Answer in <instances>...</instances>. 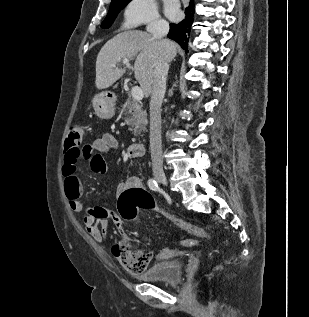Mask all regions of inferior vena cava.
<instances>
[{
    "label": "inferior vena cava",
    "mask_w": 309,
    "mask_h": 317,
    "mask_svg": "<svg viewBox=\"0 0 309 317\" xmlns=\"http://www.w3.org/2000/svg\"><path fill=\"white\" fill-rule=\"evenodd\" d=\"M147 31L161 42L162 51L156 62L152 81L150 100V151L154 172L163 171L162 140H161V105L166 91V78L169 70V61L174 50L171 41L163 39L169 31V24L163 19L151 22Z\"/></svg>",
    "instance_id": "602c4592"
}]
</instances>
